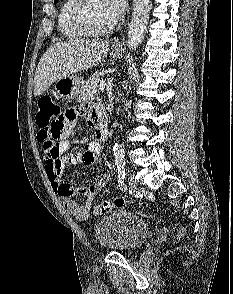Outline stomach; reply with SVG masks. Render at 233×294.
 <instances>
[{
    "mask_svg": "<svg viewBox=\"0 0 233 294\" xmlns=\"http://www.w3.org/2000/svg\"><path fill=\"white\" fill-rule=\"evenodd\" d=\"M113 57H121L122 50L121 49H113L112 50ZM55 91L57 95L63 99H73L77 97L80 93L81 82L80 79L74 75L70 74L66 77L60 78L55 81Z\"/></svg>",
    "mask_w": 233,
    "mask_h": 294,
    "instance_id": "stomach-1",
    "label": "stomach"
}]
</instances>
